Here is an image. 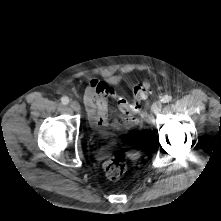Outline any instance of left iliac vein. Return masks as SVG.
Here are the masks:
<instances>
[{
    "label": "left iliac vein",
    "instance_id": "4c4485c4",
    "mask_svg": "<svg viewBox=\"0 0 221 221\" xmlns=\"http://www.w3.org/2000/svg\"><path fill=\"white\" fill-rule=\"evenodd\" d=\"M161 109H162V104L160 102H155L151 106V113L156 115L161 111Z\"/></svg>",
    "mask_w": 221,
    "mask_h": 221
}]
</instances>
